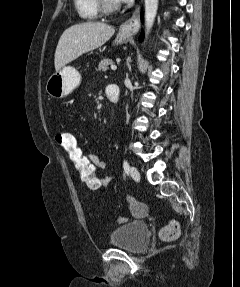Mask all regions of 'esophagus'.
Instances as JSON below:
<instances>
[{
    "label": "esophagus",
    "mask_w": 240,
    "mask_h": 287,
    "mask_svg": "<svg viewBox=\"0 0 240 287\" xmlns=\"http://www.w3.org/2000/svg\"><path fill=\"white\" fill-rule=\"evenodd\" d=\"M140 28V7H137L132 16L120 26V33L127 36L135 35Z\"/></svg>",
    "instance_id": "esophagus-1"
}]
</instances>
